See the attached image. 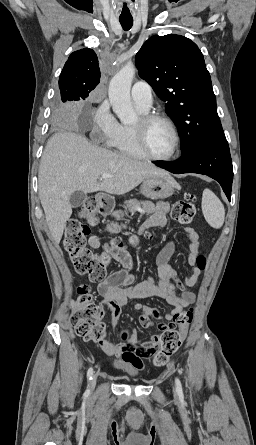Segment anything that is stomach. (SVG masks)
Masks as SVG:
<instances>
[{"mask_svg": "<svg viewBox=\"0 0 256 445\" xmlns=\"http://www.w3.org/2000/svg\"><path fill=\"white\" fill-rule=\"evenodd\" d=\"M176 182L170 176H153L143 181L140 192L149 199H166L173 195Z\"/></svg>", "mask_w": 256, "mask_h": 445, "instance_id": "0dacf381", "label": "stomach"}]
</instances>
